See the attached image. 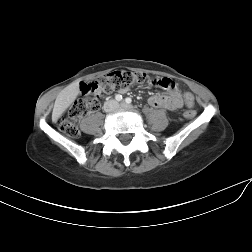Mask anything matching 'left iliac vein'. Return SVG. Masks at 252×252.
I'll list each match as a JSON object with an SVG mask.
<instances>
[{"instance_id":"4c4485c4","label":"left iliac vein","mask_w":252,"mask_h":252,"mask_svg":"<svg viewBox=\"0 0 252 252\" xmlns=\"http://www.w3.org/2000/svg\"><path fill=\"white\" fill-rule=\"evenodd\" d=\"M120 106L124 107V103H122Z\"/></svg>"}]
</instances>
